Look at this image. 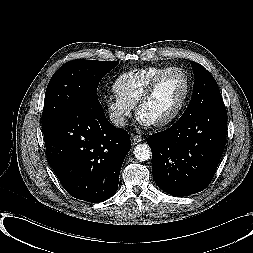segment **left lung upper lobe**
I'll return each instance as SVG.
<instances>
[{"label": "left lung upper lobe", "mask_w": 253, "mask_h": 253, "mask_svg": "<svg viewBox=\"0 0 253 253\" xmlns=\"http://www.w3.org/2000/svg\"><path fill=\"white\" fill-rule=\"evenodd\" d=\"M195 82L191 101L184 114L194 110L208 108L216 102L223 101L214 77L202 65L191 61Z\"/></svg>", "instance_id": "1"}]
</instances>
